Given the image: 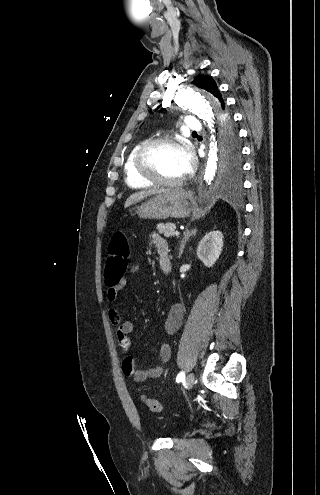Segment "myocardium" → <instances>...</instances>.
<instances>
[{"label":"myocardium","instance_id":"1","mask_svg":"<svg viewBox=\"0 0 320 495\" xmlns=\"http://www.w3.org/2000/svg\"><path fill=\"white\" fill-rule=\"evenodd\" d=\"M162 145H174L182 148L186 153H190L189 145L181 138L173 137V136H162L155 139H151L146 141L138 150L135 160L134 167L138 176L141 178L155 184L161 186H177L183 183L187 178V173L176 180H168L159 177L154 173L151 169L148 157L150 153L157 147Z\"/></svg>","mask_w":320,"mask_h":495}]
</instances>
